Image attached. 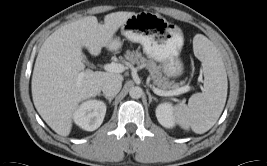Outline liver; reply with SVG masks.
<instances>
[{"instance_id": "liver-1", "label": "liver", "mask_w": 267, "mask_h": 166, "mask_svg": "<svg viewBox=\"0 0 267 166\" xmlns=\"http://www.w3.org/2000/svg\"><path fill=\"white\" fill-rule=\"evenodd\" d=\"M133 14L110 13L102 25L95 16H87L57 29L42 44L32 75V98L42 119L57 134H70L78 104L99 95L107 79H123L112 72L85 70L81 49L98 56ZM80 73L84 74L81 81Z\"/></svg>"}]
</instances>
